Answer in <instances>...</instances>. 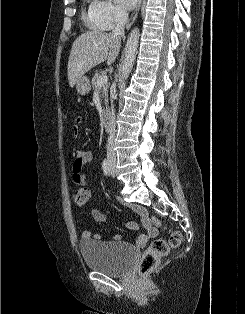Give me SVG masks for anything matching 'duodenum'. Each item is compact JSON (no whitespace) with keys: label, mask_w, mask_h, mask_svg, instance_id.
<instances>
[{"label":"duodenum","mask_w":245,"mask_h":314,"mask_svg":"<svg viewBox=\"0 0 245 314\" xmlns=\"http://www.w3.org/2000/svg\"><path fill=\"white\" fill-rule=\"evenodd\" d=\"M112 126V115L110 110H107L103 116V127L106 131H109Z\"/></svg>","instance_id":"obj_1"}]
</instances>
